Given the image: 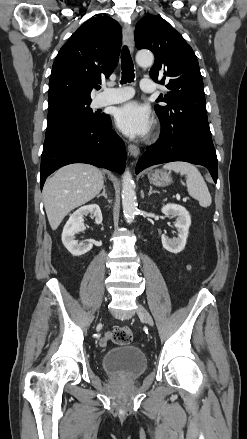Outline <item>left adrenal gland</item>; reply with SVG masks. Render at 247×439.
Returning a JSON list of instances; mask_svg holds the SVG:
<instances>
[{"label":"left adrenal gland","mask_w":247,"mask_h":439,"mask_svg":"<svg viewBox=\"0 0 247 439\" xmlns=\"http://www.w3.org/2000/svg\"><path fill=\"white\" fill-rule=\"evenodd\" d=\"M152 193H160L159 191H156V190H153L152 189V186H150V190H149V193H148V195L150 196Z\"/></svg>","instance_id":"obj_1"}]
</instances>
